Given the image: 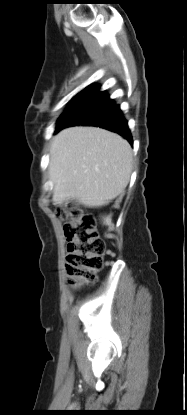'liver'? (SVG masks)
Masks as SVG:
<instances>
[{
    "mask_svg": "<svg viewBox=\"0 0 187 415\" xmlns=\"http://www.w3.org/2000/svg\"><path fill=\"white\" fill-rule=\"evenodd\" d=\"M132 160L129 143L115 133L97 127L60 131L50 149L54 204L70 200L87 207L109 204L126 188Z\"/></svg>",
    "mask_w": 187,
    "mask_h": 415,
    "instance_id": "6515ba94",
    "label": "liver"
}]
</instances>
